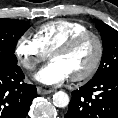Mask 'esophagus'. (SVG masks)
<instances>
[{
  "label": "esophagus",
  "instance_id": "34e87169",
  "mask_svg": "<svg viewBox=\"0 0 118 118\" xmlns=\"http://www.w3.org/2000/svg\"><path fill=\"white\" fill-rule=\"evenodd\" d=\"M38 94L45 95V94H50L53 92V90H47L41 87L37 88Z\"/></svg>",
  "mask_w": 118,
  "mask_h": 118
}]
</instances>
